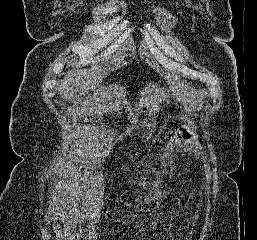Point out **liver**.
<instances>
[{
    "instance_id": "obj_1",
    "label": "liver",
    "mask_w": 257,
    "mask_h": 240,
    "mask_svg": "<svg viewBox=\"0 0 257 240\" xmlns=\"http://www.w3.org/2000/svg\"><path fill=\"white\" fill-rule=\"evenodd\" d=\"M95 71L91 69H77L75 71H68L65 74L64 80L61 83V91L67 99L74 97V94H84L89 89L91 83L94 82L93 77Z\"/></svg>"
}]
</instances>
